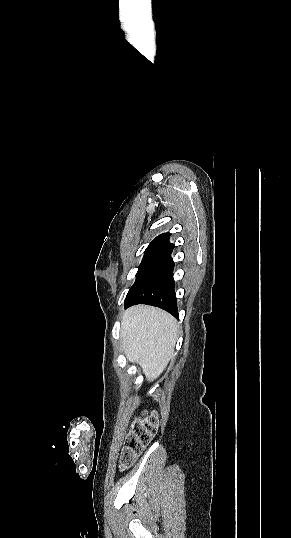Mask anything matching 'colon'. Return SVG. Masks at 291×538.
I'll return each instance as SVG.
<instances>
[{"label":"colon","instance_id":"colon-1","mask_svg":"<svg viewBox=\"0 0 291 538\" xmlns=\"http://www.w3.org/2000/svg\"><path fill=\"white\" fill-rule=\"evenodd\" d=\"M159 426V419L155 412L146 414L137 419L127 437L121 457L120 466L122 468L130 466L141 454L143 449L151 442Z\"/></svg>","mask_w":291,"mask_h":538}]
</instances>
